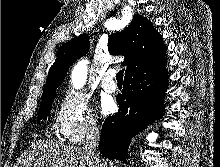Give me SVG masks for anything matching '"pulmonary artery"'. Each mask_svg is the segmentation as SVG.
I'll return each mask as SVG.
<instances>
[{
    "label": "pulmonary artery",
    "mask_w": 220,
    "mask_h": 167,
    "mask_svg": "<svg viewBox=\"0 0 220 167\" xmlns=\"http://www.w3.org/2000/svg\"><path fill=\"white\" fill-rule=\"evenodd\" d=\"M114 78H115V71L112 69L106 71V73L102 78L101 86L108 93H114L117 89V85Z\"/></svg>",
    "instance_id": "obj_1"
}]
</instances>
